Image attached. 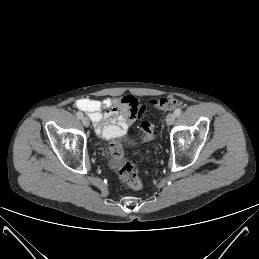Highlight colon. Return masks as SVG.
Wrapping results in <instances>:
<instances>
[{
    "label": "colon",
    "instance_id": "5ec220e1",
    "mask_svg": "<svg viewBox=\"0 0 259 259\" xmlns=\"http://www.w3.org/2000/svg\"><path fill=\"white\" fill-rule=\"evenodd\" d=\"M178 99L174 96L162 97L151 100L148 105L138 108V116H142L147 107H152L157 110H172L178 105ZM141 137L144 142H150L155 137V125L152 121L143 120L140 123ZM109 152L112 158V163L115 166L119 179L122 183L132 189L138 190L143 186L142 180L139 177L137 167L134 163L126 161L124 158V150L121 143L114 140L109 145Z\"/></svg>",
    "mask_w": 259,
    "mask_h": 259
}]
</instances>
